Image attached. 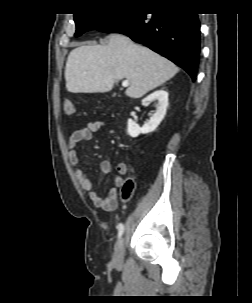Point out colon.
Segmentation results:
<instances>
[{
  "instance_id": "obj_1",
  "label": "colon",
  "mask_w": 252,
  "mask_h": 303,
  "mask_svg": "<svg viewBox=\"0 0 252 303\" xmlns=\"http://www.w3.org/2000/svg\"><path fill=\"white\" fill-rule=\"evenodd\" d=\"M63 112L66 115H73L75 113V105L72 99L65 98L63 100ZM134 188H135V182L133 178H128L123 182L121 189L122 201H128L131 198L134 192Z\"/></svg>"
}]
</instances>
